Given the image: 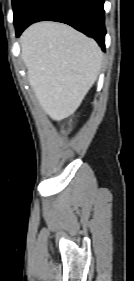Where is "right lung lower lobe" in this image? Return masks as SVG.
I'll return each instance as SVG.
<instances>
[{"label": "right lung lower lobe", "instance_id": "right-lung-lower-lobe-1", "mask_svg": "<svg viewBox=\"0 0 134 281\" xmlns=\"http://www.w3.org/2000/svg\"><path fill=\"white\" fill-rule=\"evenodd\" d=\"M104 0H32L18 28L17 37L30 24L51 20L66 23L94 38L105 49Z\"/></svg>", "mask_w": 134, "mask_h": 281}]
</instances>
